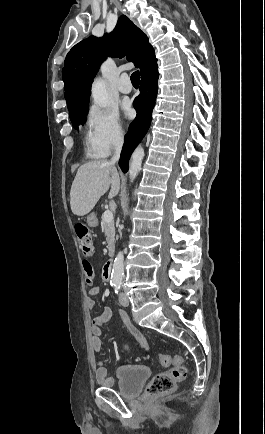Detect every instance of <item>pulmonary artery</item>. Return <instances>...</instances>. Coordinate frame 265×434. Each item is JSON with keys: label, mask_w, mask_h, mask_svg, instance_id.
Listing matches in <instances>:
<instances>
[{"label": "pulmonary artery", "mask_w": 265, "mask_h": 434, "mask_svg": "<svg viewBox=\"0 0 265 434\" xmlns=\"http://www.w3.org/2000/svg\"><path fill=\"white\" fill-rule=\"evenodd\" d=\"M125 80H129V76L127 74H123L121 76V81L117 82V89L123 94H128L133 88V83L132 81Z\"/></svg>", "instance_id": "pulmonary-artery-1"}]
</instances>
